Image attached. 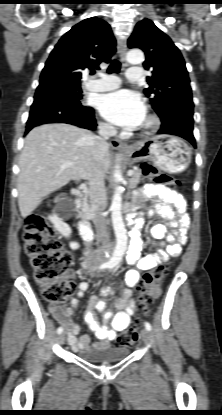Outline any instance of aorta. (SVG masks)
<instances>
[{
  "label": "aorta",
  "instance_id": "aorta-1",
  "mask_svg": "<svg viewBox=\"0 0 222 415\" xmlns=\"http://www.w3.org/2000/svg\"><path fill=\"white\" fill-rule=\"evenodd\" d=\"M127 61L132 65L141 64L144 61V54L139 49L131 50L127 53ZM114 179L116 183L122 181V174L120 167L117 165L114 171ZM122 196L121 187L117 185L113 194L110 210L112 225L116 236V247L110 262L114 265L118 264L127 250V231L122 218Z\"/></svg>",
  "mask_w": 222,
  "mask_h": 415
}]
</instances>
